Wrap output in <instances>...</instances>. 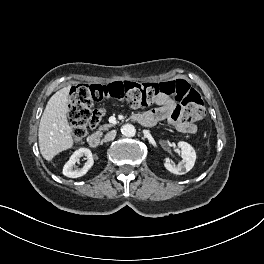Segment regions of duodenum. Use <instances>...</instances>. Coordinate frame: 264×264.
<instances>
[{"instance_id": "1", "label": "duodenum", "mask_w": 264, "mask_h": 264, "mask_svg": "<svg viewBox=\"0 0 264 264\" xmlns=\"http://www.w3.org/2000/svg\"><path fill=\"white\" fill-rule=\"evenodd\" d=\"M133 120L140 123L141 125L143 126H146V127H150L152 126V123L147 121L146 119L142 118V117H133ZM101 143V135L100 133L96 132V133H93L91 134L89 137H88V144L91 146V147H97L99 146Z\"/></svg>"}]
</instances>
